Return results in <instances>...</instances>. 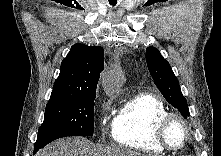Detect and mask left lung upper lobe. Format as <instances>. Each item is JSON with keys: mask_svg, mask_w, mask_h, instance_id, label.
<instances>
[{"mask_svg": "<svg viewBox=\"0 0 221 156\" xmlns=\"http://www.w3.org/2000/svg\"><path fill=\"white\" fill-rule=\"evenodd\" d=\"M146 61L154 83L164 98L173 107L178 109L184 118L190 117L187 101L181 92L179 82L168 61L154 47L147 48Z\"/></svg>", "mask_w": 221, "mask_h": 156, "instance_id": "obj_1", "label": "left lung upper lobe"}]
</instances>
